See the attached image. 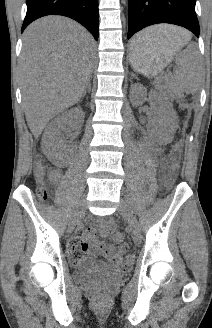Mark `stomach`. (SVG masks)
Here are the masks:
<instances>
[{"label": "stomach", "instance_id": "1", "mask_svg": "<svg viewBox=\"0 0 212 328\" xmlns=\"http://www.w3.org/2000/svg\"><path fill=\"white\" fill-rule=\"evenodd\" d=\"M131 42L129 57L132 67L147 77L157 75L173 58L174 54L185 43L178 39L166 38L162 44L150 46L142 50H135Z\"/></svg>", "mask_w": 212, "mask_h": 328}]
</instances>
